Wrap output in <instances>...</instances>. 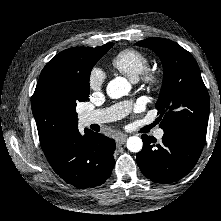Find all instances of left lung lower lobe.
Returning a JSON list of instances; mask_svg holds the SVG:
<instances>
[{
  "instance_id": "1",
  "label": "left lung lower lobe",
  "mask_w": 221,
  "mask_h": 221,
  "mask_svg": "<svg viewBox=\"0 0 221 221\" xmlns=\"http://www.w3.org/2000/svg\"><path fill=\"white\" fill-rule=\"evenodd\" d=\"M143 148L137 153L141 172L149 179L171 183L186 176L195 166L204 142L189 135L164 131L161 143L153 136L142 135Z\"/></svg>"
}]
</instances>
